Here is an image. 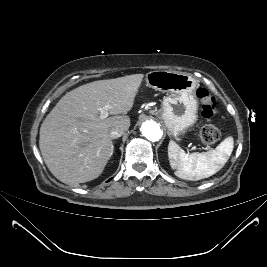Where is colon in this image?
<instances>
[{
    "label": "colon",
    "mask_w": 267,
    "mask_h": 267,
    "mask_svg": "<svg viewBox=\"0 0 267 267\" xmlns=\"http://www.w3.org/2000/svg\"><path fill=\"white\" fill-rule=\"evenodd\" d=\"M196 95L200 101L202 116L206 119L213 118L217 113L216 99L205 88H199ZM200 138L204 144L211 145L219 140L220 132L214 124L206 123L200 130Z\"/></svg>",
    "instance_id": "obj_1"
}]
</instances>
